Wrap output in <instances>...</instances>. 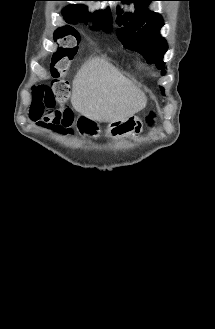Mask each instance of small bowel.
<instances>
[{"label":"small bowel","mask_w":215,"mask_h":329,"mask_svg":"<svg viewBox=\"0 0 215 329\" xmlns=\"http://www.w3.org/2000/svg\"><path fill=\"white\" fill-rule=\"evenodd\" d=\"M29 118L39 127L66 134L69 133L68 126L71 123L72 113L70 111V114H31L29 110Z\"/></svg>","instance_id":"small-bowel-1"}]
</instances>
